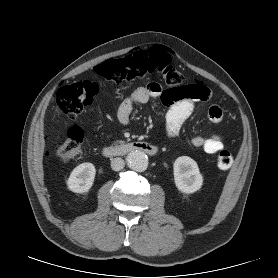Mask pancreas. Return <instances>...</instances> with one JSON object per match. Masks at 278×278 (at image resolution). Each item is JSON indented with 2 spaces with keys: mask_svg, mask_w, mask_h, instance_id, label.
Masks as SVG:
<instances>
[{
  "mask_svg": "<svg viewBox=\"0 0 278 278\" xmlns=\"http://www.w3.org/2000/svg\"><path fill=\"white\" fill-rule=\"evenodd\" d=\"M124 143H125V141L118 140V141L114 142V145L117 146L118 144H124Z\"/></svg>",
  "mask_w": 278,
  "mask_h": 278,
  "instance_id": "1",
  "label": "pancreas"
}]
</instances>
